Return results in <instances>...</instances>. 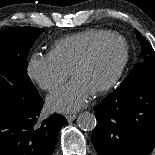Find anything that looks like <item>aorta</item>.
Here are the masks:
<instances>
[{"mask_svg":"<svg viewBox=\"0 0 155 155\" xmlns=\"http://www.w3.org/2000/svg\"><path fill=\"white\" fill-rule=\"evenodd\" d=\"M77 124L84 131H93L96 127L97 120L93 113L85 111L78 116Z\"/></svg>","mask_w":155,"mask_h":155,"instance_id":"1","label":"aorta"}]
</instances>
